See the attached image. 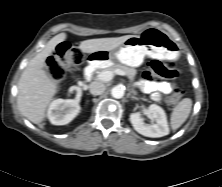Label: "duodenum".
I'll use <instances>...</instances> for the list:
<instances>
[{"mask_svg":"<svg viewBox=\"0 0 222 187\" xmlns=\"http://www.w3.org/2000/svg\"><path fill=\"white\" fill-rule=\"evenodd\" d=\"M97 65V62L96 61H92L85 69L84 71V79L85 80H90L92 75H93V72H94V69ZM85 80H81L78 82L77 86L80 87V88H83L85 86Z\"/></svg>","mask_w":222,"mask_h":187,"instance_id":"1","label":"duodenum"}]
</instances>
